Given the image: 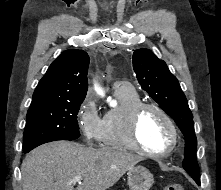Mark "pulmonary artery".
<instances>
[{
  "instance_id": "pulmonary-artery-1",
  "label": "pulmonary artery",
  "mask_w": 221,
  "mask_h": 190,
  "mask_svg": "<svg viewBox=\"0 0 221 190\" xmlns=\"http://www.w3.org/2000/svg\"><path fill=\"white\" fill-rule=\"evenodd\" d=\"M118 84H123V82H117L116 85H118Z\"/></svg>"
}]
</instances>
